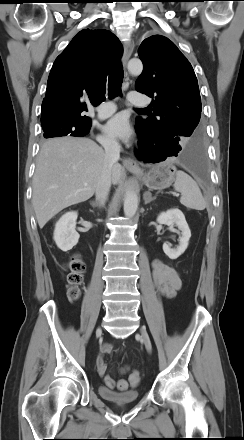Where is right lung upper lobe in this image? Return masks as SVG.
Returning a JSON list of instances; mask_svg holds the SVG:
<instances>
[{"instance_id":"1","label":"right lung upper lobe","mask_w":244,"mask_h":440,"mask_svg":"<svg viewBox=\"0 0 244 440\" xmlns=\"http://www.w3.org/2000/svg\"><path fill=\"white\" fill-rule=\"evenodd\" d=\"M122 44L108 30H82L56 58L42 102L41 123L90 124L83 112L105 100L109 68L122 55Z\"/></svg>"}]
</instances>
